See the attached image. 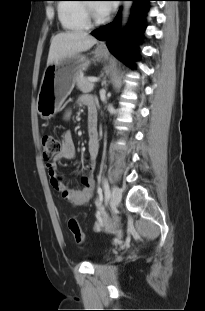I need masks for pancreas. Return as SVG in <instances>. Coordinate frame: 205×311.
<instances>
[{
    "label": "pancreas",
    "instance_id": "1",
    "mask_svg": "<svg viewBox=\"0 0 205 311\" xmlns=\"http://www.w3.org/2000/svg\"><path fill=\"white\" fill-rule=\"evenodd\" d=\"M77 88L83 93H89L94 89V83L90 82L88 78L83 77L81 74L75 78Z\"/></svg>",
    "mask_w": 205,
    "mask_h": 311
}]
</instances>
